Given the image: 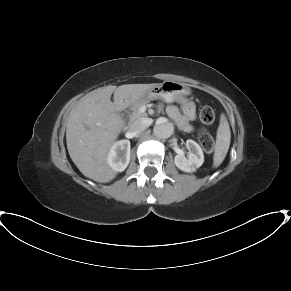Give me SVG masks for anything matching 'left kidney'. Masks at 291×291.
<instances>
[{
    "instance_id": "1",
    "label": "left kidney",
    "mask_w": 291,
    "mask_h": 291,
    "mask_svg": "<svg viewBox=\"0 0 291 291\" xmlns=\"http://www.w3.org/2000/svg\"><path fill=\"white\" fill-rule=\"evenodd\" d=\"M188 156L185 157L182 151L177 152L174 157V163L181 171L191 173L200 167L204 162V154L201 147L193 140L186 141Z\"/></svg>"
}]
</instances>
